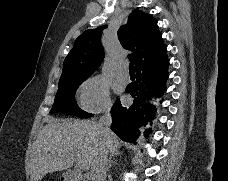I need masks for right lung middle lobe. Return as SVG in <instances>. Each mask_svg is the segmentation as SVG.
I'll return each mask as SVG.
<instances>
[{"mask_svg":"<svg viewBox=\"0 0 228 181\" xmlns=\"http://www.w3.org/2000/svg\"><path fill=\"white\" fill-rule=\"evenodd\" d=\"M83 81L84 80L59 83V88L50 114L65 112L80 118L92 117V114L81 110L75 101V92Z\"/></svg>","mask_w":228,"mask_h":181,"instance_id":"1","label":"right lung middle lobe"}]
</instances>
